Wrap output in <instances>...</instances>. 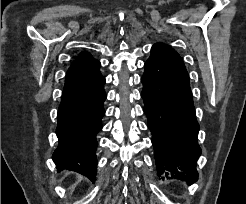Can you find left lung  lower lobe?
I'll use <instances>...</instances> for the list:
<instances>
[{
	"instance_id": "0a47b994",
	"label": "left lung lower lobe",
	"mask_w": 246,
	"mask_h": 204,
	"mask_svg": "<svg viewBox=\"0 0 246 204\" xmlns=\"http://www.w3.org/2000/svg\"><path fill=\"white\" fill-rule=\"evenodd\" d=\"M144 66L141 95L158 176L193 183L198 179L196 161L201 154L199 124L183 60L171 47L158 43Z\"/></svg>"
}]
</instances>
